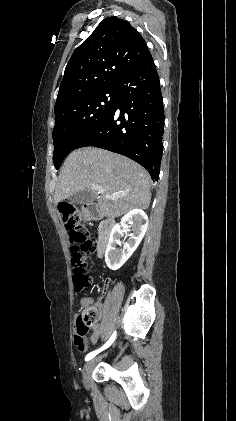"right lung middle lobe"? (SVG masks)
<instances>
[{
  "mask_svg": "<svg viewBox=\"0 0 236 421\" xmlns=\"http://www.w3.org/2000/svg\"><path fill=\"white\" fill-rule=\"evenodd\" d=\"M117 88L75 97L55 109L53 161L59 169L67 154L96 129L117 104Z\"/></svg>",
  "mask_w": 236,
  "mask_h": 421,
  "instance_id": "dd1d6c3e",
  "label": "right lung middle lobe"
}]
</instances>
